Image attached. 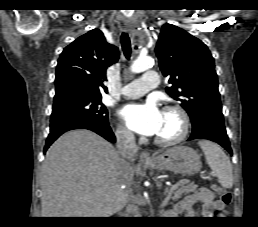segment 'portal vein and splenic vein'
<instances>
[{"instance_id": "obj_1", "label": "portal vein and splenic vein", "mask_w": 258, "mask_h": 227, "mask_svg": "<svg viewBox=\"0 0 258 227\" xmlns=\"http://www.w3.org/2000/svg\"><path fill=\"white\" fill-rule=\"evenodd\" d=\"M188 183H189V180H188V179H183V180L178 181V182H177L175 185H173L169 190H167V195H166L164 201L162 202V204L160 205V208H164V207L167 205L168 201H169L170 198H171V195H172L173 191H174L176 188H178V187H180V186H182V185H184V184H188Z\"/></svg>"}]
</instances>
